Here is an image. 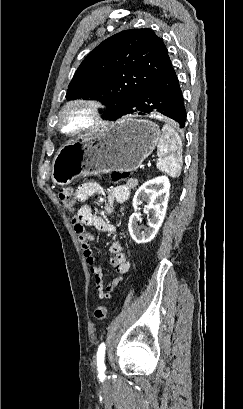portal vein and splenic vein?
<instances>
[{"label": "portal vein and splenic vein", "mask_w": 243, "mask_h": 409, "mask_svg": "<svg viewBox=\"0 0 243 409\" xmlns=\"http://www.w3.org/2000/svg\"><path fill=\"white\" fill-rule=\"evenodd\" d=\"M148 166H151V164H150V163H148Z\"/></svg>", "instance_id": "1"}]
</instances>
